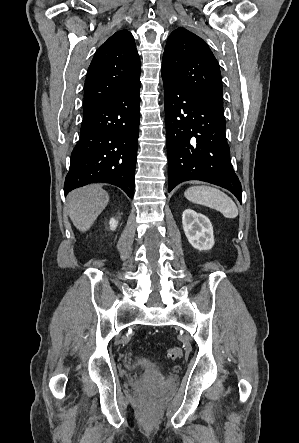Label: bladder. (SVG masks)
<instances>
[{"label":"bladder","mask_w":299,"mask_h":443,"mask_svg":"<svg viewBox=\"0 0 299 443\" xmlns=\"http://www.w3.org/2000/svg\"><path fill=\"white\" fill-rule=\"evenodd\" d=\"M152 377H153V378H160L161 375H160L158 372H153V373H152Z\"/></svg>","instance_id":"obj_1"}]
</instances>
